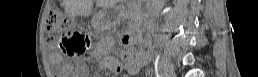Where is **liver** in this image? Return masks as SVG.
Here are the masks:
<instances>
[{
    "label": "liver",
    "mask_w": 258,
    "mask_h": 77,
    "mask_svg": "<svg viewBox=\"0 0 258 77\" xmlns=\"http://www.w3.org/2000/svg\"><path fill=\"white\" fill-rule=\"evenodd\" d=\"M97 6H112L117 0H96ZM65 10L71 14L88 16L93 7V0H64Z\"/></svg>",
    "instance_id": "liver-1"
}]
</instances>
